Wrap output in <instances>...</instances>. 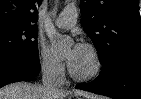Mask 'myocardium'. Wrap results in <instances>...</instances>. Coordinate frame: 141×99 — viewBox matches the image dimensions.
I'll list each match as a JSON object with an SVG mask.
<instances>
[{"mask_svg": "<svg viewBox=\"0 0 141 99\" xmlns=\"http://www.w3.org/2000/svg\"><path fill=\"white\" fill-rule=\"evenodd\" d=\"M83 47L84 49L88 51V53L90 54L92 58L93 68L90 72L86 74H78L71 67H69L70 76L74 80L79 81V82L91 81L95 79L102 71V59L96 47L88 43L84 44Z\"/></svg>", "mask_w": 141, "mask_h": 99, "instance_id": "1", "label": "myocardium"}]
</instances>
